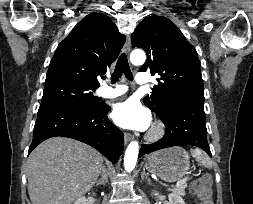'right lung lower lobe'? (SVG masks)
Here are the masks:
<instances>
[{
	"label": "right lung lower lobe",
	"mask_w": 253,
	"mask_h": 204,
	"mask_svg": "<svg viewBox=\"0 0 253 204\" xmlns=\"http://www.w3.org/2000/svg\"><path fill=\"white\" fill-rule=\"evenodd\" d=\"M109 110L103 103L97 109L64 105L40 107L28 154L42 141L63 136L94 147L116 163L124 149V135L108 119Z\"/></svg>",
	"instance_id": "98d812e1"
}]
</instances>
